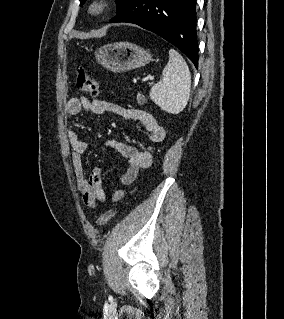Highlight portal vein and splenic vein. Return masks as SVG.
<instances>
[{
    "mask_svg": "<svg viewBox=\"0 0 284 319\" xmlns=\"http://www.w3.org/2000/svg\"><path fill=\"white\" fill-rule=\"evenodd\" d=\"M150 80H153L154 78L152 76L149 77Z\"/></svg>",
    "mask_w": 284,
    "mask_h": 319,
    "instance_id": "obj_1",
    "label": "portal vein and splenic vein"
}]
</instances>
